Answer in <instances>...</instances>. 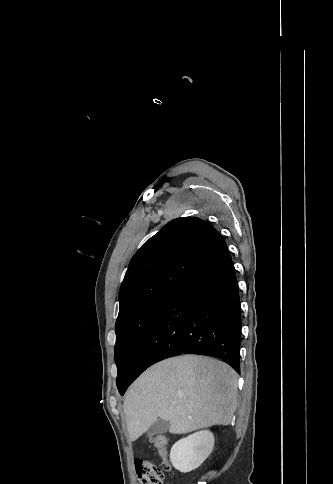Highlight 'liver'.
I'll use <instances>...</instances> for the list:
<instances>
[{
	"instance_id": "6515ba94",
	"label": "liver",
	"mask_w": 333,
	"mask_h": 484,
	"mask_svg": "<svg viewBox=\"0 0 333 484\" xmlns=\"http://www.w3.org/2000/svg\"><path fill=\"white\" fill-rule=\"evenodd\" d=\"M237 374L212 358L184 355L161 361L129 387L123 403L131 441L158 419L172 434L229 425L236 409Z\"/></svg>"
}]
</instances>
